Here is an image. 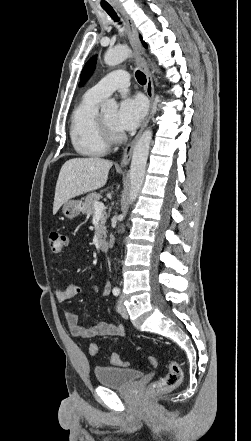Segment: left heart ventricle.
<instances>
[{
	"instance_id": "left-heart-ventricle-1",
	"label": "left heart ventricle",
	"mask_w": 251,
	"mask_h": 441,
	"mask_svg": "<svg viewBox=\"0 0 251 441\" xmlns=\"http://www.w3.org/2000/svg\"><path fill=\"white\" fill-rule=\"evenodd\" d=\"M116 114L117 112L115 110L113 111H109V112H105L102 114L105 122L107 123V125L116 133H120L116 127H115V119H116Z\"/></svg>"
}]
</instances>
